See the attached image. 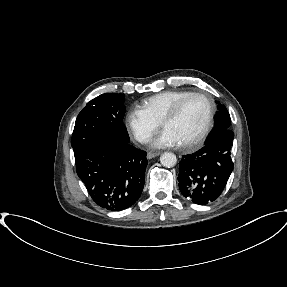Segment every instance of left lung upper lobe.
Segmentation results:
<instances>
[{
    "mask_svg": "<svg viewBox=\"0 0 287 287\" xmlns=\"http://www.w3.org/2000/svg\"><path fill=\"white\" fill-rule=\"evenodd\" d=\"M218 104V112L215 115V128L213 129L208 139H211L219 133L228 130L230 126V115L226 107L224 105H221L219 102Z\"/></svg>",
    "mask_w": 287,
    "mask_h": 287,
    "instance_id": "5c2ea615",
    "label": "left lung upper lobe"
}]
</instances>
